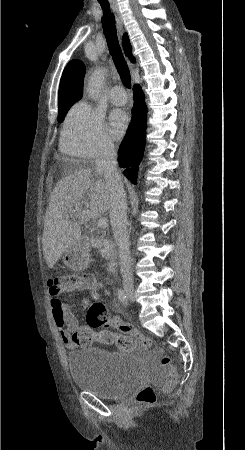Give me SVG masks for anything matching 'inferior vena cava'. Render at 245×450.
Here are the masks:
<instances>
[{"instance_id":"602c4592","label":"inferior vena cava","mask_w":245,"mask_h":450,"mask_svg":"<svg viewBox=\"0 0 245 450\" xmlns=\"http://www.w3.org/2000/svg\"><path fill=\"white\" fill-rule=\"evenodd\" d=\"M96 171L102 173L110 191V223L119 248L120 270L124 284L133 283L127 230V198L117 170V153L111 141H105L96 157Z\"/></svg>"}]
</instances>
